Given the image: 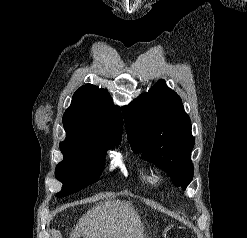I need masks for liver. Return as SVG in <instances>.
I'll list each match as a JSON object with an SVG mask.
<instances>
[{
	"label": "liver",
	"instance_id": "obj_1",
	"mask_svg": "<svg viewBox=\"0 0 247 238\" xmlns=\"http://www.w3.org/2000/svg\"><path fill=\"white\" fill-rule=\"evenodd\" d=\"M137 212L129 202L105 201L83 215L70 238H144Z\"/></svg>",
	"mask_w": 247,
	"mask_h": 238
}]
</instances>
